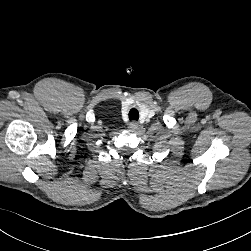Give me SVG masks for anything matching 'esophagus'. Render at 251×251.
Listing matches in <instances>:
<instances>
[{
  "label": "esophagus",
  "instance_id": "esophagus-1",
  "mask_svg": "<svg viewBox=\"0 0 251 251\" xmlns=\"http://www.w3.org/2000/svg\"><path fill=\"white\" fill-rule=\"evenodd\" d=\"M129 128H130L131 130H136V129H138V124H137L136 122H131V123L129 124Z\"/></svg>",
  "mask_w": 251,
  "mask_h": 251
}]
</instances>
